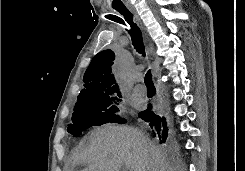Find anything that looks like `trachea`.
<instances>
[{"instance_id": "1", "label": "trachea", "mask_w": 245, "mask_h": 171, "mask_svg": "<svg viewBox=\"0 0 245 171\" xmlns=\"http://www.w3.org/2000/svg\"><path fill=\"white\" fill-rule=\"evenodd\" d=\"M112 7L123 16V19L120 17H115L111 18V20L128 27L134 48L137 50V52L144 54L145 48L143 44L142 33L139 27L133 22L132 13L120 0H115V2L112 4ZM145 84L146 86H154L150 70L145 75Z\"/></svg>"}]
</instances>
